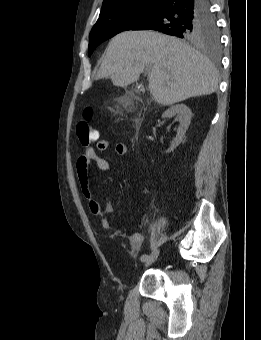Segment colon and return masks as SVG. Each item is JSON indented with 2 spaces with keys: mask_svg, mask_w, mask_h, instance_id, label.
<instances>
[{
  "mask_svg": "<svg viewBox=\"0 0 261 340\" xmlns=\"http://www.w3.org/2000/svg\"><path fill=\"white\" fill-rule=\"evenodd\" d=\"M94 115L95 112L93 108H86L83 114L84 119L80 121L76 127V133L79 141L84 146L95 142L99 137L97 129L90 124L91 120L94 118Z\"/></svg>",
  "mask_w": 261,
  "mask_h": 340,
  "instance_id": "5ec220e1",
  "label": "colon"
}]
</instances>
